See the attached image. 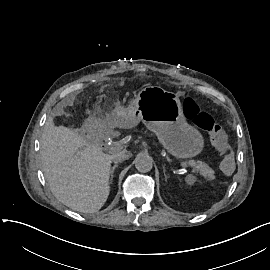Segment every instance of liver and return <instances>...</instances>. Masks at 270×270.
Returning a JSON list of instances; mask_svg holds the SVG:
<instances>
[{"mask_svg": "<svg viewBox=\"0 0 270 270\" xmlns=\"http://www.w3.org/2000/svg\"><path fill=\"white\" fill-rule=\"evenodd\" d=\"M40 143L44 176L53 195L74 210L98 211L110 192L112 155L102 152L97 139L86 140L77 131L56 127L52 118L44 126Z\"/></svg>", "mask_w": 270, "mask_h": 270, "instance_id": "obj_1", "label": "liver"}]
</instances>
